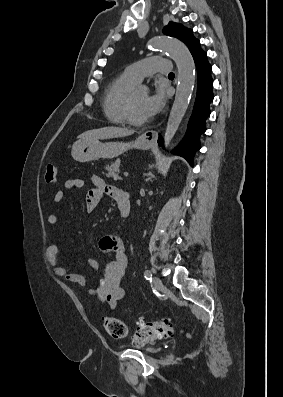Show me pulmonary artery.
I'll return each instance as SVG.
<instances>
[{"label":"pulmonary artery","instance_id":"e3ab8cb5","mask_svg":"<svg viewBox=\"0 0 283 397\" xmlns=\"http://www.w3.org/2000/svg\"><path fill=\"white\" fill-rule=\"evenodd\" d=\"M170 63L161 57L153 56L137 61L129 65L124 74L134 82L141 81L144 77L159 73H168L170 71Z\"/></svg>","mask_w":283,"mask_h":397}]
</instances>
